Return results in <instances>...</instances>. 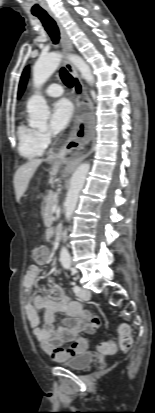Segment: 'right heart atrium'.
<instances>
[{"instance_id": "d8ad5b80", "label": "right heart atrium", "mask_w": 155, "mask_h": 413, "mask_svg": "<svg viewBox=\"0 0 155 413\" xmlns=\"http://www.w3.org/2000/svg\"><path fill=\"white\" fill-rule=\"evenodd\" d=\"M38 137L41 145L47 148L52 143L54 136L49 130H39Z\"/></svg>"}]
</instances>
